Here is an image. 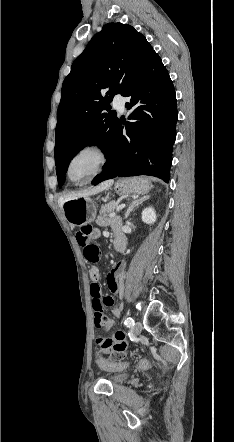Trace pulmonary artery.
Segmentation results:
<instances>
[{
	"mask_svg": "<svg viewBox=\"0 0 234 442\" xmlns=\"http://www.w3.org/2000/svg\"><path fill=\"white\" fill-rule=\"evenodd\" d=\"M113 106L119 110L120 112H124L125 111V99L121 96H116L113 99Z\"/></svg>",
	"mask_w": 234,
	"mask_h": 442,
	"instance_id": "1",
	"label": "pulmonary artery"
}]
</instances>
